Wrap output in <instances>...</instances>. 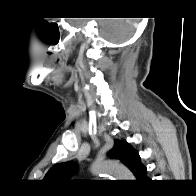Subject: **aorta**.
Wrapping results in <instances>:
<instances>
[{"mask_svg": "<svg viewBox=\"0 0 196 196\" xmlns=\"http://www.w3.org/2000/svg\"><path fill=\"white\" fill-rule=\"evenodd\" d=\"M92 172L95 174H108L116 180H133L131 171L114 160H97L92 165Z\"/></svg>", "mask_w": 196, "mask_h": 196, "instance_id": "1", "label": "aorta"}]
</instances>
